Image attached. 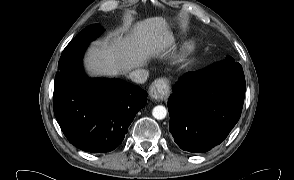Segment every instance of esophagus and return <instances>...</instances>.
I'll return each instance as SVG.
<instances>
[{"label": "esophagus", "instance_id": "34e87169", "mask_svg": "<svg viewBox=\"0 0 294 180\" xmlns=\"http://www.w3.org/2000/svg\"><path fill=\"white\" fill-rule=\"evenodd\" d=\"M170 93L169 80L167 78L157 79L149 89V95L152 99L160 101L167 98Z\"/></svg>", "mask_w": 294, "mask_h": 180}]
</instances>
